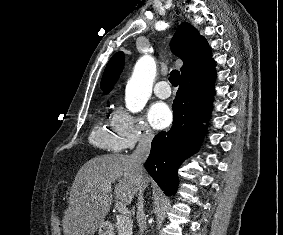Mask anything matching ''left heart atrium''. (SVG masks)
Returning a JSON list of instances; mask_svg holds the SVG:
<instances>
[{
    "label": "left heart atrium",
    "instance_id": "1",
    "mask_svg": "<svg viewBox=\"0 0 283 235\" xmlns=\"http://www.w3.org/2000/svg\"><path fill=\"white\" fill-rule=\"evenodd\" d=\"M150 124L155 129H163L170 125L172 121V114L169 107L165 103L153 104L147 113Z\"/></svg>",
    "mask_w": 283,
    "mask_h": 235
}]
</instances>
